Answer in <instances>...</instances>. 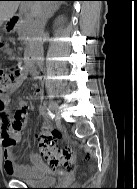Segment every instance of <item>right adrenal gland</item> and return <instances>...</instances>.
Returning a JSON list of instances; mask_svg holds the SVG:
<instances>
[{
	"label": "right adrenal gland",
	"mask_w": 137,
	"mask_h": 189,
	"mask_svg": "<svg viewBox=\"0 0 137 189\" xmlns=\"http://www.w3.org/2000/svg\"><path fill=\"white\" fill-rule=\"evenodd\" d=\"M60 5H61V3H58V4L54 7L53 11L51 12V14H50V16H49L48 18L53 17L54 13L59 9Z\"/></svg>",
	"instance_id": "2a0ac1e0"
}]
</instances>
